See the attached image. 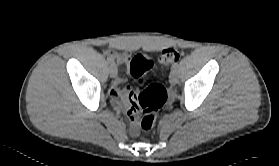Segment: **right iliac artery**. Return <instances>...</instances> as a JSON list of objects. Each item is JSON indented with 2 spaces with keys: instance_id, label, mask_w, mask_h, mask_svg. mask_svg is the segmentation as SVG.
<instances>
[{
  "instance_id": "right-iliac-artery-1",
  "label": "right iliac artery",
  "mask_w": 279,
  "mask_h": 166,
  "mask_svg": "<svg viewBox=\"0 0 279 166\" xmlns=\"http://www.w3.org/2000/svg\"><path fill=\"white\" fill-rule=\"evenodd\" d=\"M107 61H108V63L110 65H114L115 64L114 60L112 58H110V57H107Z\"/></svg>"
}]
</instances>
